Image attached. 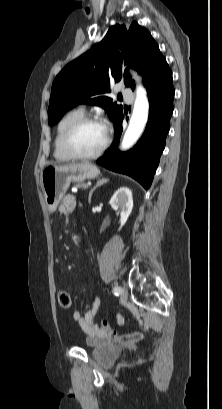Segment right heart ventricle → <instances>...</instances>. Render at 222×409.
<instances>
[{
    "label": "right heart ventricle",
    "instance_id": "e07e8e85",
    "mask_svg": "<svg viewBox=\"0 0 222 409\" xmlns=\"http://www.w3.org/2000/svg\"><path fill=\"white\" fill-rule=\"evenodd\" d=\"M84 116L82 109H74L67 112L58 122L56 126L54 138V157L58 161H69L72 158L65 152L63 148V137L67 129L78 119Z\"/></svg>",
    "mask_w": 222,
    "mask_h": 409
}]
</instances>
